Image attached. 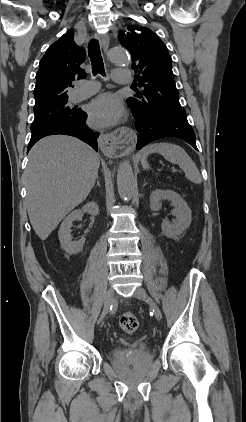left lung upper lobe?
Returning <instances> with one entry per match:
<instances>
[{"instance_id":"5c2ea615","label":"left lung upper lobe","mask_w":246,"mask_h":422,"mask_svg":"<svg viewBox=\"0 0 246 422\" xmlns=\"http://www.w3.org/2000/svg\"><path fill=\"white\" fill-rule=\"evenodd\" d=\"M122 46L130 51L136 86L144 90L127 99V104L145 115L186 116L172 72L167 47L150 29L129 26L118 34Z\"/></svg>"}]
</instances>
